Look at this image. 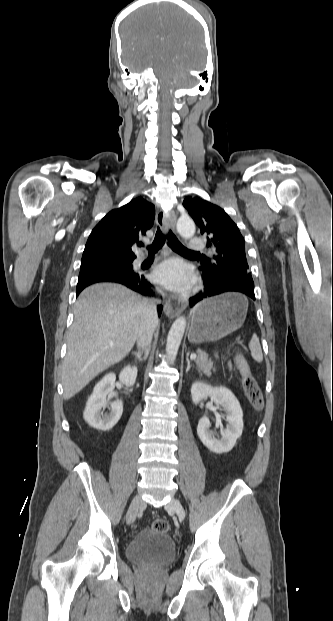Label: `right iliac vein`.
<instances>
[{"mask_svg": "<svg viewBox=\"0 0 333 621\" xmlns=\"http://www.w3.org/2000/svg\"><path fill=\"white\" fill-rule=\"evenodd\" d=\"M143 505V501L140 497V495H136L131 504L130 507L128 509L127 515H126V520L128 524H131L135 521L138 511L141 508V506Z\"/></svg>", "mask_w": 333, "mask_h": 621, "instance_id": "right-iliac-vein-1", "label": "right iliac vein"}]
</instances>
